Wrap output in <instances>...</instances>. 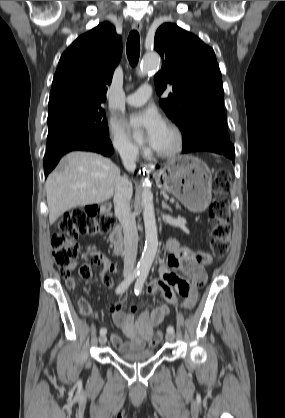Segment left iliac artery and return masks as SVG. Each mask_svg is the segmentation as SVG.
<instances>
[{"instance_id": "44dca946", "label": "left iliac artery", "mask_w": 285, "mask_h": 418, "mask_svg": "<svg viewBox=\"0 0 285 418\" xmlns=\"http://www.w3.org/2000/svg\"><path fill=\"white\" fill-rule=\"evenodd\" d=\"M148 275V269H144L141 271V273L139 274V277L135 283V287H134V291L136 295H139L142 291V287L144 285V282L147 278ZM167 332L168 333H174V327L173 326H168L167 327Z\"/></svg>"}]
</instances>
